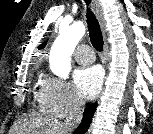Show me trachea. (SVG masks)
I'll list each match as a JSON object with an SVG mask.
<instances>
[{
  "instance_id": "3493384b",
  "label": "trachea",
  "mask_w": 153,
  "mask_h": 134,
  "mask_svg": "<svg viewBox=\"0 0 153 134\" xmlns=\"http://www.w3.org/2000/svg\"><path fill=\"white\" fill-rule=\"evenodd\" d=\"M87 5V24L91 43L93 47L101 52L103 50V37L100 29L98 20L96 19L94 13L90 10L89 6L91 0H84Z\"/></svg>"
}]
</instances>
